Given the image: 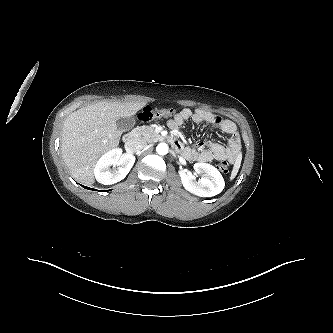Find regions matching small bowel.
I'll return each instance as SVG.
<instances>
[{
  "instance_id": "obj_1",
  "label": "small bowel",
  "mask_w": 333,
  "mask_h": 333,
  "mask_svg": "<svg viewBox=\"0 0 333 333\" xmlns=\"http://www.w3.org/2000/svg\"><path fill=\"white\" fill-rule=\"evenodd\" d=\"M189 119L195 123H206L218 128L223 133L228 134L229 139L226 145L215 141L200 142L193 147H185L182 144L178 149L185 158L199 162L212 160L235 161L240 151L241 140L237 126L232 121L211 112L203 110L192 111L185 108L168 121V126L171 129H176Z\"/></svg>"
}]
</instances>
